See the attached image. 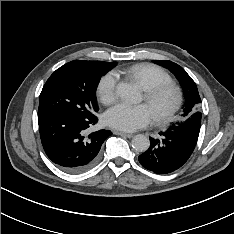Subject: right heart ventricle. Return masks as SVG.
<instances>
[{
  "label": "right heart ventricle",
  "instance_id": "e07e8e85",
  "mask_svg": "<svg viewBox=\"0 0 234 234\" xmlns=\"http://www.w3.org/2000/svg\"><path fill=\"white\" fill-rule=\"evenodd\" d=\"M125 73L134 79L144 90L158 84L172 83V78L166 71L152 64H136L128 68Z\"/></svg>",
  "mask_w": 234,
  "mask_h": 234
}]
</instances>
